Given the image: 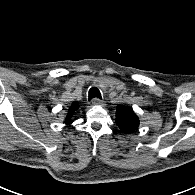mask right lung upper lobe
<instances>
[{"mask_svg":"<svg viewBox=\"0 0 195 195\" xmlns=\"http://www.w3.org/2000/svg\"><path fill=\"white\" fill-rule=\"evenodd\" d=\"M78 107H79L78 102H73L72 103L71 107L67 111L68 112L67 115L65 116V121H64L65 124L69 125L73 122V120L71 118H72L75 110L78 109Z\"/></svg>","mask_w":195,"mask_h":195,"instance_id":"cb5924a9","label":"right lung upper lobe"}]
</instances>
